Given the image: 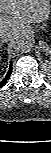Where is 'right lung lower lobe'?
<instances>
[{
  "mask_svg": "<svg viewBox=\"0 0 51 153\" xmlns=\"http://www.w3.org/2000/svg\"><path fill=\"white\" fill-rule=\"evenodd\" d=\"M11 71H12V64L10 65L9 71H8L7 75L5 76V78L2 81H0V87H2L6 83V81L8 80V78L11 74Z\"/></svg>",
  "mask_w": 51,
  "mask_h": 153,
  "instance_id": "right-lung-lower-lobe-1",
  "label": "right lung lower lobe"
}]
</instances>
